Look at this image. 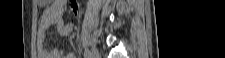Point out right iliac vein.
<instances>
[{
    "mask_svg": "<svg viewBox=\"0 0 225 58\" xmlns=\"http://www.w3.org/2000/svg\"><path fill=\"white\" fill-rule=\"evenodd\" d=\"M89 57L90 58H99V52L95 47H93L91 49V51L89 52Z\"/></svg>",
    "mask_w": 225,
    "mask_h": 58,
    "instance_id": "63e3f726",
    "label": "right iliac vein"
}]
</instances>
